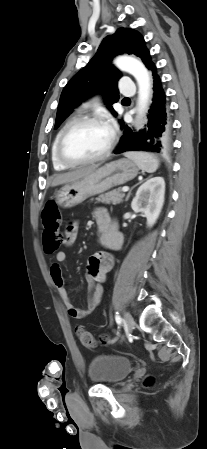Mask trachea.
I'll list each match as a JSON object with an SVG mask.
<instances>
[{
    "instance_id": "obj_1",
    "label": "trachea",
    "mask_w": 207,
    "mask_h": 449,
    "mask_svg": "<svg viewBox=\"0 0 207 449\" xmlns=\"http://www.w3.org/2000/svg\"><path fill=\"white\" fill-rule=\"evenodd\" d=\"M123 100H124V101H125V100H129V98H124Z\"/></svg>"
}]
</instances>
